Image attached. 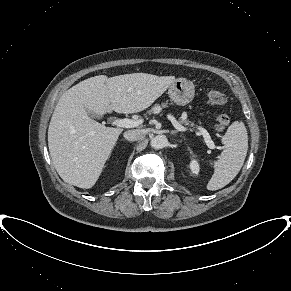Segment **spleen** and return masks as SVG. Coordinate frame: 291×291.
Wrapping results in <instances>:
<instances>
[{
    "label": "spleen",
    "mask_w": 291,
    "mask_h": 291,
    "mask_svg": "<svg viewBox=\"0 0 291 291\" xmlns=\"http://www.w3.org/2000/svg\"><path fill=\"white\" fill-rule=\"evenodd\" d=\"M225 149L214 162V174L207 189L214 191L225 187L239 173L248 150V135L243 122L235 121L222 137Z\"/></svg>",
    "instance_id": "obj_1"
}]
</instances>
